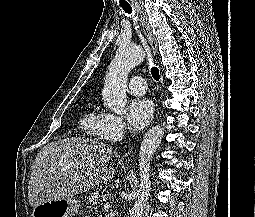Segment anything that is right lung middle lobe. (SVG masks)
Returning <instances> with one entry per match:
<instances>
[{
    "instance_id": "dd1d6c3e",
    "label": "right lung middle lobe",
    "mask_w": 255,
    "mask_h": 217,
    "mask_svg": "<svg viewBox=\"0 0 255 217\" xmlns=\"http://www.w3.org/2000/svg\"><path fill=\"white\" fill-rule=\"evenodd\" d=\"M78 101H79V100H77V101L75 102V104L78 103Z\"/></svg>"
}]
</instances>
